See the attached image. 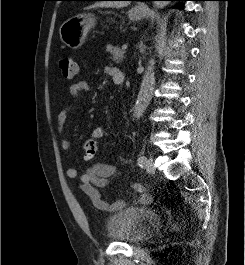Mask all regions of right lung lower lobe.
Listing matches in <instances>:
<instances>
[{
  "instance_id": "right-lung-lower-lobe-1",
  "label": "right lung lower lobe",
  "mask_w": 245,
  "mask_h": 265,
  "mask_svg": "<svg viewBox=\"0 0 245 265\" xmlns=\"http://www.w3.org/2000/svg\"><path fill=\"white\" fill-rule=\"evenodd\" d=\"M94 1H102V0H94Z\"/></svg>"
}]
</instances>
